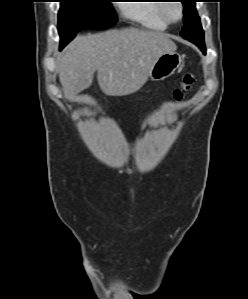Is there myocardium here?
I'll use <instances>...</instances> for the list:
<instances>
[{"label":"myocardium","mask_w":248,"mask_h":299,"mask_svg":"<svg viewBox=\"0 0 248 299\" xmlns=\"http://www.w3.org/2000/svg\"><path fill=\"white\" fill-rule=\"evenodd\" d=\"M175 4L180 11V15L177 19H173L168 14V8L170 5ZM160 13L162 18L168 23V24H174L180 22L184 17V6L180 1H175L174 3H163L160 8Z\"/></svg>","instance_id":"f54148a6"}]
</instances>
